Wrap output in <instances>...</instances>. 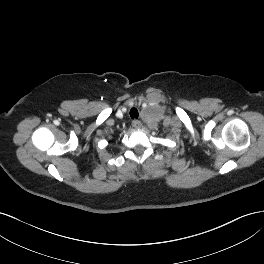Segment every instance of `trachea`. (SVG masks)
Instances as JSON below:
<instances>
[{"label":"trachea","instance_id":"3493384b","mask_svg":"<svg viewBox=\"0 0 264 264\" xmlns=\"http://www.w3.org/2000/svg\"><path fill=\"white\" fill-rule=\"evenodd\" d=\"M138 116H139V114H138V110L136 109V108H132L131 110H130V117L132 118V119H134V118H138Z\"/></svg>","mask_w":264,"mask_h":264}]
</instances>
